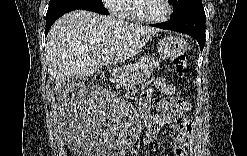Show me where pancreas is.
<instances>
[{
    "mask_svg": "<svg viewBox=\"0 0 247 156\" xmlns=\"http://www.w3.org/2000/svg\"><path fill=\"white\" fill-rule=\"evenodd\" d=\"M148 62V60L138 61L118 69L112 73L111 81L125 88L146 81L153 72V67L148 65Z\"/></svg>",
    "mask_w": 247,
    "mask_h": 156,
    "instance_id": "1",
    "label": "pancreas"
}]
</instances>
